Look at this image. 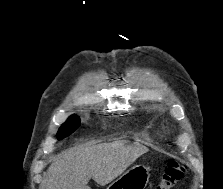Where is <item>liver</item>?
Masks as SVG:
<instances>
[{
	"label": "liver",
	"instance_id": "1",
	"mask_svg": "<svg viewBox=\"0 0 223 189\" xmlns=\"http://www.w3.org/2000/svg\"><path fill=\"white\" fill-rule=\"evenodd\" d=\"M147 151L145 146H125L120 141L74 147L50 165L41 189H91V178L105 186Z\"/></svg>",
	"mask_w": 223,
	"mask_h": 189
}]
</instances>
